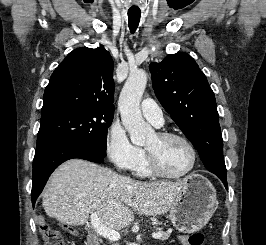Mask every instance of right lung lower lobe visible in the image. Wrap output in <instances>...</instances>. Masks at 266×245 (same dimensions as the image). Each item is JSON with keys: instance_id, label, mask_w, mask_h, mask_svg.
Instances as JSON below:
<instances>
[{"instance_id": "98d812e1", "label": "right lung lower lobe", "mask_w": 266, "mask_h": 245, "mask_svg": "<svg viewBox=\"0 0 266 245\" xmlns=\"http://www.w3.org/2000/svg\"><path fill=\"white\" fill-rule=\"evenodd\" d=\"M104 157L87 147L70 142H54L37 148L33 160L32 205L42 192L51 173L63 162L73 158L102 163Z\"/></svg>"}]
</instances>
